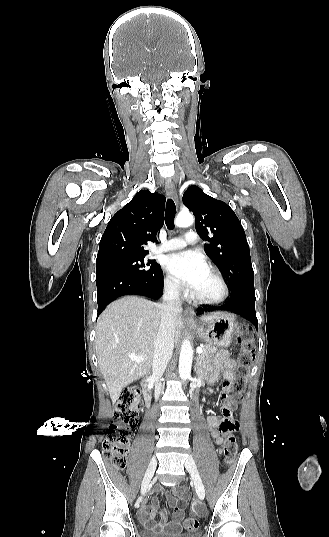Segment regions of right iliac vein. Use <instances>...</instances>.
Returning a JSON list of instances; mask_svg holds the SVG:
<instances>
[{
	"instance_id": "right-iliac-vein-1",
	"label": "right iliac vein",
	"mask_w": 329,
	"mask_h": 537,
	"mask_svg": "<svg viewBox=\"0 0 329 537\" xmlns=\"http://www.w3.org/2000/svg\"><path fill=\"white\" fill-rule=\"evenodd\" d=\"M156 466H157V461H156L155 458H152V460L150 461V464H149V466L147 468V471L145 473V476L143 478V481H142V485H141V493H142V495L146 492V490L148 488V485H149V483L151 481V478L154 475Z\"/></svg>"
}]
</instances>
